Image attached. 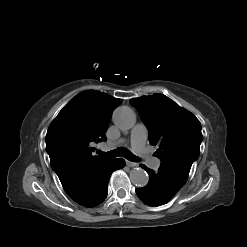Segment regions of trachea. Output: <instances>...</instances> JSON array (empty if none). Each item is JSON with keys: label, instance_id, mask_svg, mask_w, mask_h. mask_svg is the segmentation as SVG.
Masks as SVG:
<instances>
[{"label": "trachea", "instance_id": "3493384b", "mask_svg": "<svg viewBox=\"0 0 247 247\" xmlns=\"http://www.w3.org/2000/svg\"><path fill=\"white\" fill-rule=\"evenodd\" d=\"M99 155L105 156V157H119V156H123L126 159H128L129 161H133L136 162L138 161V157H136L132 152H130L129 150H122L121 148L109 151V152H102V151H98Z\"/></svg>", "mask_w": 247, "mask_h": 247}]
</instances>
